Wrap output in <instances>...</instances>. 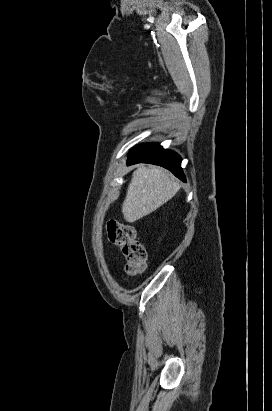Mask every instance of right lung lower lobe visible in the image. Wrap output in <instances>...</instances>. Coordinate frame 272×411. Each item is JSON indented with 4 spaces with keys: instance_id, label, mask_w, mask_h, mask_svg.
Returning <instances> with one entry per match:
<instances>
[{
    "instance_id": "98d812e1",
    "label": "right lung lower lobe",
    "mask_w": 272,
    "mask_h": 411,
    "mask_svg": "<svg viewBox=\"0 0 272 411\" xmlns=\"http://www.w3.org/2000/svg\"><path fill=\"white\" fill-rule=\"evenodd\" d=\"M140 162L160 165L169 169L182 181H186L181 168L180 156L171 150L163 149L159 144L148 143L133 148L130 151L128 165Z\"/></svg>"
}]
</instances>
